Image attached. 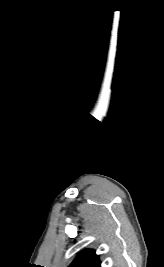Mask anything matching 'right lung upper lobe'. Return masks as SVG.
I'll return each instance as SVG.
<instances>
[{"mask_svg": "<svg viewBox=\"0 0 164 267\" xmlns=\"http://www.w3.org/2000/svg\"><path fill=\"white\" fill-rule=\"evenodd\" d=\"M69 267H100V261L94 250L82 251Z\"/></svg>", "mask_w": 164, "mask_h": 267, "instance_id": "obj_1", "label": "right lung upper lobe"}]
</instances>
